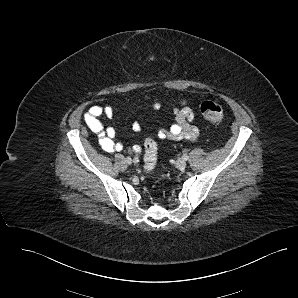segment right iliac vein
<instances>
[{
  "mask_svg": "<svg viewBox=\"0 0 298 298\" xmlns=\"http://www.w3.org/2000/svg\"><path fill=\"white\" fill-rule=\"evenodd\" d=\"M125 161H126L127 164H131L133 162L132 158H130V157H127L125 159Z\"/></svg>",
  "mask_w": 298,
  "mask_h": 298,
  "instance_id": "1",
  "label": "right iliac vein"
}]
</instances>
